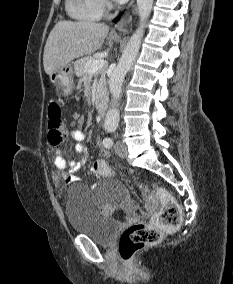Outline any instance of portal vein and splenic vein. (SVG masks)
Wrapping results in <instances>:
<instances>
[{
	"label": "portal vein and splenic vein",
	"instance_id": "18ae733b",
	"mask_svg": "<svg viewBox=\"0 0 233 284\" xmlns=\"http://www.w3.org/2000/svg\"><path fill=\"white\" fill-rule=\"evenodd\" d=\"M104 64V59H96L93 61H89L86 66L89 68L90 72H97L103 68Z\"/></svg>",
	"mask_w": 233,
	"mask_h": 284
}]
</instances>
